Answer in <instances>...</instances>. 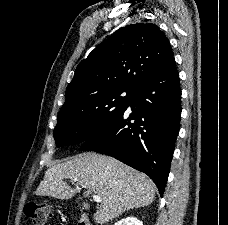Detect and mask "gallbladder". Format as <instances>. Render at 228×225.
<instances>
[{"instance_id": "obj_1", "label": "gallbladder", "mask_w": 228, "mask_h": 225, "mask_svg": "<svg viewBox=\"0 0 228 225\" xmlns=\"http://www.w3.org/2000/svg\"><path fill=\"white\" fill-rule=\"evenodd\" d=\"M79 207H83V205H79Z\"/></svg>"}]
</instances>
